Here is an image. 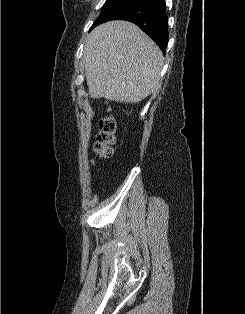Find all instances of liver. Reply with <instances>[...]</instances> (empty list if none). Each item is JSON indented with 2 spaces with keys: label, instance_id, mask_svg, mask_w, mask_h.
<instances>
[{
  "label": "liver",
  "instance_id": "6515ba94",
  "mask_svg": "<svg viewBox=\"0 0 245 314\" xmlns=\"http://www.w3.org/2000/svg\"><path fill=\"white\" fill-rule=\"evenodd\" d=\"M82 59L93 99L138 103L160 87L163 53L133 23L111 21L93 29Z\"/></svg>",
  "mask_w": 245,
  "mask_h": 314
}]
</instances>
